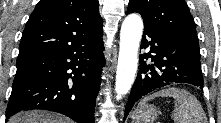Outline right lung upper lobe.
<instances>
[{"instance_id": "right-lung-upper-lobe-1", "label": "right lung upper lobe", "mask_w": 221, "mask_h": 123, "mask_svg": "<svg viewBox=\"0 0 221 123\" xmlns=\"http://www.w3.org/2000/svg\"><path fill=\"white\" fill-rule=\"evenodd\" d=\"M102 26L98 0H40L26 23L19 56L94 39Z\"/></svg>"}]
</instances>
